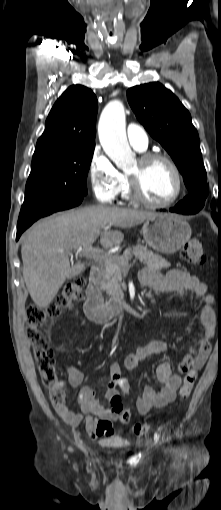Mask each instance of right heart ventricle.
<instances>
[{"mask_svg": "<svg viewBox=\"0 0 221 510\" xmlns=\"http://www.w3.org/2000/svg\"><path fill=\"white\" fill-rule=\"evenodd\" d=\"M140 152H142V151H140ZM121 192L125 198H127V199L130 198L129 189H128V181H127V177L125 175H123V186H122Z\"/></svg>", "mask_w": 221, "mask_h": 510, "instance_id": "right-heart-ventricle-1", "label": "right heart ventricle"}]
</instances>
